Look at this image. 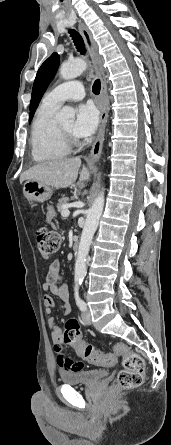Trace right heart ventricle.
Returning a JSON list of instances; mask_svg holds the SVG:
<instances>
[{"mask_svg":"<svg viewBox=\"0 0 171 445\" xmlns=\"http://www.w3.org/2000/svg\"><path fill=\"white\" fill-rule=\"evenodd\" d=\"M57 108V105L43 102L32 122L31 154L37 162L59 159L69 151L57 133V122L55 121Z\"/></svg>","mask_w":171,"mask_h":445,"instance_id":"right-heart-ventricle-1","label":"right heart ventricle"}]
</instances>
